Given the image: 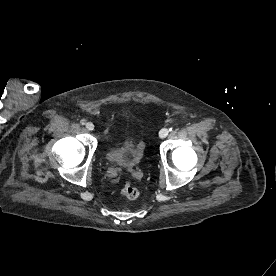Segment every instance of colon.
Here are the masks:
<instances>
[{
  "label": "colon",
  "mask_w": 276,
  "mask_h": 276,
  "mask_svg": "<svg viewBox=\"0 0 276 276\" xmlns=\"http://www.w3.org/2000/svg\"><path fill=\"white\" fill-rule=\"evenodd\" d=\"M121 194L127 199H136L139 195V190L131 183H125L121 187Z\"/></svg>",
  "instance_id": "5ec220e1"
}]
</instances>
